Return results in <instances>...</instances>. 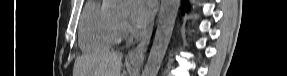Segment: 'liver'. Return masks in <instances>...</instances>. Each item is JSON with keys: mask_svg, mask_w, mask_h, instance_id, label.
Returning <instances> with one entry per match:
<instances>
[{"mask_svg": "<svg viewBox=\"0 0 287 76\" xmlns=\"http://www.w3.org/2000/svg\"><path fill=\"white\" fill-rule=\"evenodd\" d=\"M122 53L101 50L78 57L74 64V76H120Z\"/></svg>", "mask_w": 287, "mask_h": 76, "instance_id": "liver-1", "label": "liver"}]
</instances>
